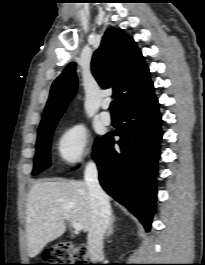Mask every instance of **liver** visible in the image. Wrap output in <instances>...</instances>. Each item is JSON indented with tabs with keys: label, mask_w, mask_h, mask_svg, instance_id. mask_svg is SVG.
<instances>
[{
	"label": "liver",
	"mask_w": 205,
	"mask_h": 265,
	"mask_svg": "<svg viewBox=\"0 0 205 265\" xmlns=\"http://www.w3.org/2000/svg\"><path fill=\"white\" fill-rule=\"evenodd\" d=\"M92 207L86 182L44 180L30 189L26 205V238L30 258L66 230V221L91 227Z\"/></svg>",
	"instance_id": "6515ba94"
}]
</instances>
